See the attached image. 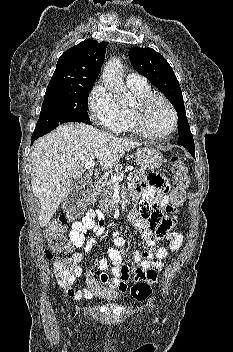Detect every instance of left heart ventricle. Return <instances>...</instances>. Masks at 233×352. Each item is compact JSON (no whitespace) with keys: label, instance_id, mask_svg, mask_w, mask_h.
<instances>
[{"label":"left heart ventricle","instance_id":"b2bd125f","mask_svg":"<svg viewBox=\"0 0 233 352\" xmlns=\"http://www.w3.org/2000/svg\"><path fill=\"white\" fill-rule=\"evenodd\" d=\"M145 123L151 132H166L173 123L171 111L162 101H154L146 111Z\"/></svg>","mask_w":233,"mask_h":352}]
</instances>
